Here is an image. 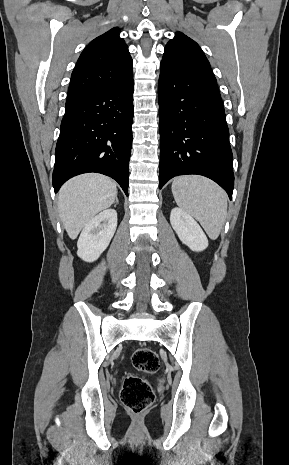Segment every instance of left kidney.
Here are the masks:
<instances>
[{
  "label": "left kidney",
  "instance_id": "obj_1",
  "mask_svg": "<svg viewBox=\"0 0 289 465\" xmlns=\"http://www.w3.org/2000/svg\"><path fill=\"white\" fill-rule=\"evenodd\" d=\"M170 223L183 244L191 250L200 252L208 247V239L199 224L180 208H173Z\"/></svg>",
  "mask_w": 289,
  "mask_h": 465
}]
</instances>
